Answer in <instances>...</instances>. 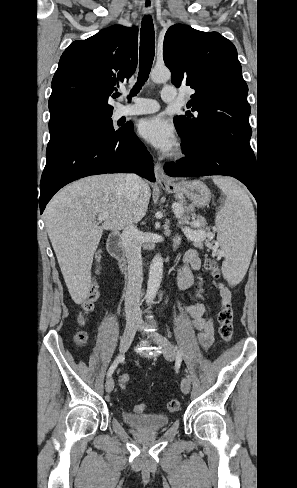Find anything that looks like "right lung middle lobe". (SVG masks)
Returning a JSON list of instances; mask_svg holds the SVG:
<instances>
[{"instance_id": "dd1d6c3e", "label": "right lung middle lobe", "mask_w": 297, "mask_h": 488, "mask_svg": "<svg viewBox=\"0 0 297 488\" xmlns=\"http://www.w3.org/2000/svg\"><path fill=\"white\" fill-rule=\"evenodd\" d=\"M126 129L114 130L110 117L85 121L50 133V141L46 150V157H50L64 146L86 138L106 137Z\"/></svg>"}]
</instances>
